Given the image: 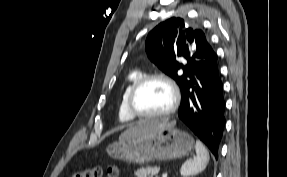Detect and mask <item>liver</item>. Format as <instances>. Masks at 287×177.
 Returning a JSON list of instances; mask_svg holds the SVG:
<instances>
[{
	"mask_svg": "<svg viewBox=\"0 0 287 177\" xmlns=\"http://www.w3.org/2000/svg\"><path fill=\"white\" fill-rule=\"evenodd\" d=\"M174 125H175V122L167 123V122H161L159 120L141 121L131 126L126 131H124L121 134L120 138H128L132 136L142 135V134L157 131L163 127L174 126Z\"/></svg>",
	"mask_w": 287,
	"mask_h": 177,
	"instance_id": "1",
	"label": "liver"
}]
</instances>
